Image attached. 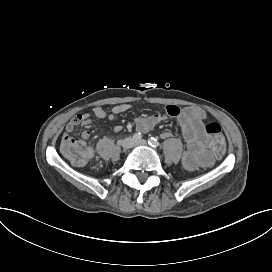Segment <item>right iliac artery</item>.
<instances>
[{
  "label": "right iliac artery",
  "mask_w": 272,
  "mask_h": 272,
  "mask_svg": "<svg viewBox=\"0 0 272 272\" xmlns=\"http://www.w3.org/2000/svg\"><path fill=\"white\" fill-rule=\"evenodd\" d=\"M142 139V135L140 132H136L134 135H133V140L135 141H139Z\"/></svg>",
  "instance_id": "right-iliac-artery-1"
}]
</instances>
